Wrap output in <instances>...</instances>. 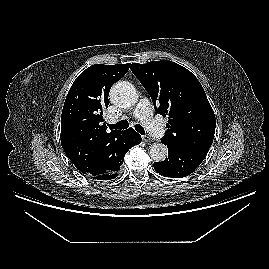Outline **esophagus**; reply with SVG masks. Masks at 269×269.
Returning a JSON list of instances; mask_svg holds the SVG:
<instances>
[{
	"label": "esophagus",
	"instance_id": "esophagus-1",
	"mask_svg": "<svg viewBox=\"0 0 269 269\" xmlns=\"http://www.w3.org/2000/svg\"><path fill=\"white\" fill-rule=\"evenodd\" d=\"M142 140L145 142H152L153 138L150 137L149 135H142Z\"/></svg>",
	"mask_w": 269,
	"mask_h": 269
}]
</instances>
